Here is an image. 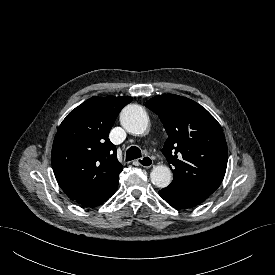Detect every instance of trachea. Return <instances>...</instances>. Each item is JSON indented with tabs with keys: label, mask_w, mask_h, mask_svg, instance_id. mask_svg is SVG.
I'll return each instance as SVG.
<instances>
[{
	"label": "trachea",
	"mask_w": 275,
	"mask_h": 275,
	"mask_svg": "<svg viewBox=\"0 0 275 275\" xmlns=\"http://www.w3.org/2000/svg\"><path fill=\"white\" fill-rule=\"evenodd\" d=\"M141 155V150L136 146H132L126 152V161H131L140 158Z\"/></svg>",
	"instance_id": "1"
}]
</instances>
